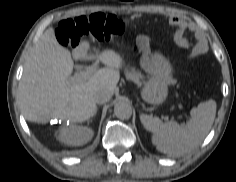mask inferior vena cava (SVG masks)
Instances as JSON below:
<instances>
[{
  "mask_svg": "<svg viewBox=\"0 0 236 182\" xmlns=\"http://www.w3.org/2000/svg\"><path fill=\"white\" fill-rule=\"evenodd\" d=\"M112 97V92L108 89H100L95 94V101L96 103L103 104L108 102Z\"/></svg>",
  "mask_w": 236,
  "mask_h": 182,
  "instance_id": "obj_1",
  "label": "inferior vena cava"
}]
</instances>
